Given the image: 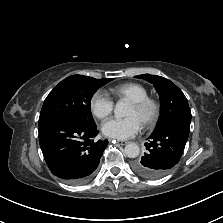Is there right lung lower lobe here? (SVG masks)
Here are the masks:
<instances>
[{
  "mask_svg": "<svg viewBox=\"0 0 223 223\" xmlns=\"http://www.w3.org/2000/svg\"><path fill=\"white\" fill-rule=\"evenodd\" d=\"M97 134L96 124L68 117L39 125V144L50 171L71 184L89 180L108 144L107 140L94 141Z\"/></svg>",
  "mask_w": 223,
  "mask_h": 223,
  "instance_id": "right-lung-lower-lobe-1",
  "label": "right lung lower lobe"
}]
</instances>
